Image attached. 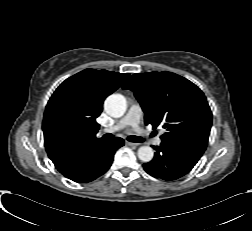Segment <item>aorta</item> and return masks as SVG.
Listing matches in <instances>:
<instances>
[{
    "mask_svg": "<svg viewBox=\"0 0 252 231\" xmlns=\"http://www.w3.org/2000/svg\"><path fill=\"white\" fill-rule=\"evenodd\" d=\"M126 99L121 94H112L104 102V109L108 115L114 118L122 117L126 111ZM138 158L142 162H150L154 157V151L150 146H141L138 149Z\"/></svg>",
    "mask_w": 252,
    "mask_h": 231,
    "instance_id": "1",
    "label": "aorta"
}]
</instances>
